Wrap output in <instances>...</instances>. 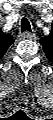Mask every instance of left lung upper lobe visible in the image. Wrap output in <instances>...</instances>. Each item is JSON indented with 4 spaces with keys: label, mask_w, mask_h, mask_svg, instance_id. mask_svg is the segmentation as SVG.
<instances>
[{
    "label": "left lung upper lobe",
    "mask_w": 53,
    "mask_h": 120,
    "mask_svg": "<svg viewBox=\"0 0 53 120\" xmlns=\"http://www.w3.org/2000/svg\"><path fill=\"white\" fill-rule=\"evenodd\" d=\"M40 43L43 46L44 52L46 56L48 57V59L52 60L53 58V34L52 32L49 36L42 37L40 39Z\"/></svg>",
    "instance_id": "left-lung-upper-lobe-1"
}]
</instances>
